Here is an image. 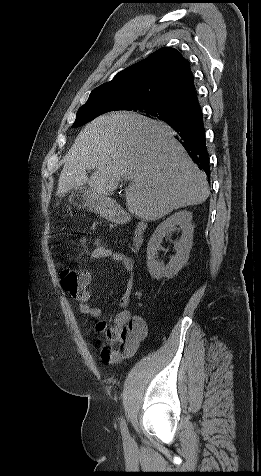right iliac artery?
Segmentation results:
<instances>
[{"instance_id": "right-iliac-artery-1", "label": "right iliac artery", "mask_w": 261, "mask_h": 476, "mask_svg": "<svg viewBox=\"0 0 261 476\" xmlns=\"http://www.w3.org/2000/svg\"><path fill=\"white\" fill-rule=\"evenodd\" d=\"M121 433H122V436L125 440L129 439V432H128V429H127V425H126V423L123 419L121 420Z\"/></svg>"}]
</instances>
